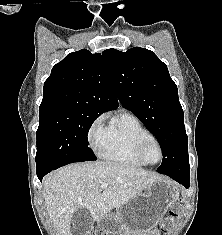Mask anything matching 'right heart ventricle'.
Masks as SVG:
<instances>
[{
    "label": "right heart ventricle",
    "instance_id": "e07e8e85",
    "mask_svg": "<svg viewBox=\"0 0 222 235\" xmlns=\"http://www.w3.org/2000/svg\"><path fill=\"white\" fill-rule=\"evenodd\" d=\"M153 137L141 121L129 111H120L109 120L97 147L99 156L107 161L142 167L136 156L139 142Z\"/></svg>",
    "mask_w": 222,
    "mask_h": 235
}]
</instances>
